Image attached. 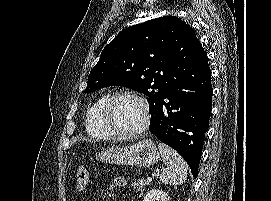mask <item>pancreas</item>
Segmentation results:
<instances>
[{
  "label": "pancreas",
  "mask_w": 271,
  "mask_h": 201,
  "mask_svg": "<svg viewBox=\"0 0 271 201\" xmlns=\"http://www.w3.org/2000/svg\"><path fill=\"white\" fill-rule=\"evenodd\" d=\"M145 185H147V183L143 179H139L137 182L135 181L131 184L137 192L141 191Z\"/></svg>",
  "instance_id": "pancreas-1"
}]
</instances>
